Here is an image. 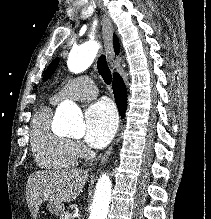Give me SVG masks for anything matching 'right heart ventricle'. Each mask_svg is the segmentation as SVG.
I'll list each match as a JSON object with an SVG mask.
<instances>
[{
	"mask_svg": "<svg viewBox=\"0 0 211 219\" xmlns=\"http://www.w3.org/2000/svg\"><path fill=\"white\" fill-rule=\"evenodd\" d=\"M52 110L43 106L35 113L31 124V148L38 166L63 169L76 165L78 154L72 142L56 134L51 127Z\"/></svg>",
	"mask_w": 211,
	"mask_h": 219,
	"instance_id": "obj_1",
	"label": "right heart ventricle"
}]
</instances>
